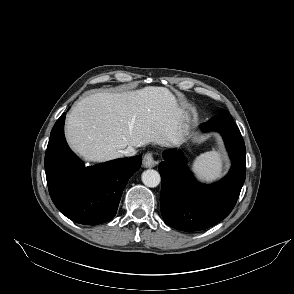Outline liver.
Returning <instances> with one entry per match:
<instances>
[{"mask_svg":"<svg viewBox=\"0 0 294 294\" xmlns=\"http://www.w3.org/2000/svg\"><path fill=\"white\" fill-rule=\"evenodd\" d=\"M184 116L175 96L164 87L99 92L72 108L67 116L66 138L86 161L105 162L122 157L121 151L127 146L181 144Z\"/></svg>","mask_w":294,"mask_h":294,"instance_id":"obj_1","label":"liver"}]
</instances>
